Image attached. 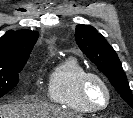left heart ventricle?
I'll use <instances>...</instances> for the list:
<instances>
[{
  "instance_id": "b2bd125f",
  "label": "left heart ventricle",
  "mask_w": 133,
  "mask_h": 118,
  "mask_svg": "<svg viewBox=\"0 0 133 118\" xmlns=\"http://www.w3.org/2000/svg\"><path fill=\"white\" fill-rule=\"evenodd\" d=\"M90 98L92 102L97 106H102L106 101V92L103 87L96 81H93L90 85Z\"/></svg>"
}]
</instances>
